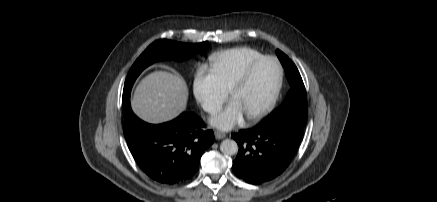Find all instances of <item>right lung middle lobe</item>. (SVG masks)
I'll list each match as a JSON object with an SVG mask.
<instances>
[{
    "mask_svg": "<svg viewBox=\"0 0 437 202\" xmlns=\"http://www.w3.org/2000/svg\"><path fill=\"white\" fill-rule=\"evenodd\" d=\"M207 44V41L199 44H185L170 40H157L152 43L134 62L127 75L122 96L123 115L126 114V110L130 105L132 86L146 67L159 60L184 61L200 52Z\"/></svg>",
    "mask_w": 437,
    "mask_h": 202,
    "instance_id": "obj_1",
    "label": "right lung middle lobe"
}]
</instances>
